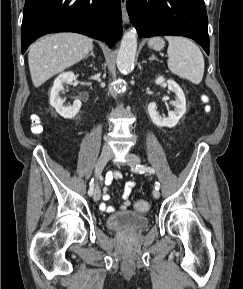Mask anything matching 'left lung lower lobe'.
<instances>
[{
	"instance_id": "left-lung-lower-lobe-1",
	"label": "left lung lower lobe",
	"mask_w": 243,
	"mask_h": 289,
	"mask_svg": "<svg viewBox=\"0 0 243 289\" xmlns=\"http://www.w3.org/2000/svg\"><path fill=\"white\" fill-rule=\"evenodd\" d=\"M127 11L139 37L180 35L197 41L209 54L204 0H127Z\"/></svg>"
}]
</instances>
